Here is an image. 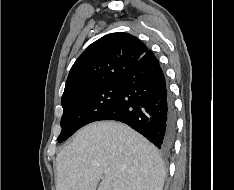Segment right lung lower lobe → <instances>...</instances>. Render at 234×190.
<instances>
[{
  "label": "right lung lower lobe",
  "mask_w": 234,
  "mask_h": 190,
  "mask_svg": "<svg viewBox=\"0 0 234 190\" xmlns=\"http://www.w3.org/2000/svg\"><path fill=\"white\" fill-rule=\"evenodd\" d=\"M114 105L100 120L126 123L163 151L175 136V112L164 73L152 51L146 52L120 80Z\"/></svg>",
  "instance_id": "98d812e1"
}]
</instances>
